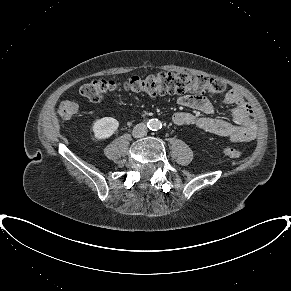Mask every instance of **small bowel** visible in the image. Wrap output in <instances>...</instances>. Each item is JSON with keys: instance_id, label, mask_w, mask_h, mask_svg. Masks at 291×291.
Listing matches in <instances>:
<instances>
[{"instance_id": "c3829d8e", "label": "small bowel", "mask_w": 291, "mask_h": 291, "mask_svg": "<svg viewBox=\"0 0 291 291\" xmlns=\"http://www.w3.org/2000/svg\"><path fill=\"white\" fill-rule=\"evenodd\" d=\"M222 101L224 104L232 106L231 122L209 117H198L185 111L176 112L173 115V121L179 126H194L205 132L226 137L231 142H247L255 139L257 125L251 106L234 90L226 91L222 95ZM177 102L182 106L205 114H212L215 111L214 105L201 95H180Z\"/></svg>"}]
</instances>
